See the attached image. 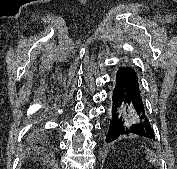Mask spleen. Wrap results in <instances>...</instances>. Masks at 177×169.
<instances>
[{
    "instance_id": "spleen-1",
    "label": "spleen",
    "mask_w": 177,
    "mask_h": 169,
    "mask_svg": "<svg viewBox=\"0 0 177 169\" xmlns=\"http://www.w3.org/2000/svg\"><path fill=\"white\" fill-rule=\"evenodd\" d=\"M150 162H151V163H154V162H155V159H154V158H150Z\"/></svg>"
}]
</instances>
